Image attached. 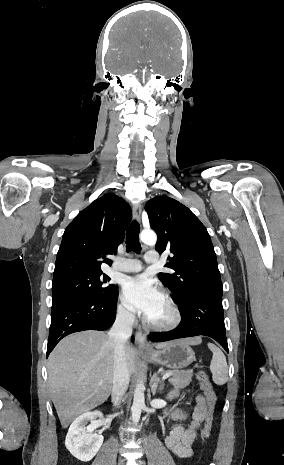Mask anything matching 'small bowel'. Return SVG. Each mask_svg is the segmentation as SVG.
I'll return each mask as SVG.
<instances>
[{
	"label": "small bowel",
	"mask_w": 284,
	"mask_h": 465,
	"mask_svg": "<svg viewBox=\"0 0 284 465\" xmlns=\"http://www.w3.org/2000/svg\"><path fill=\"white\" fill-rule=\"evenodd\" d=\"M178 396V392H172L171 399ZM167 417L174 422L169 435L165 440L167 448L178 458L188 459L193 456L192 444L197 435V429L201 423L209 419L206 401L203 396L196 397V404L189 415L182 409H173L167 413ZM190 417L188 425L183 422Z\"/></svg>",
	"instance_id": "obj_1"
}]
</instances>
